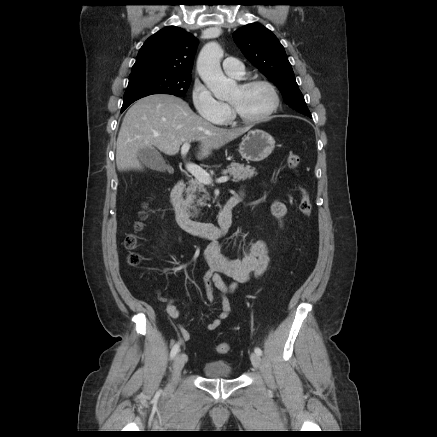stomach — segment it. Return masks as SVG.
<instances>
[{
    "instance_id": "stomach-1",
    "label": "stomach",
    "mask_w": 437,
    "mask_h": 437,
    "mask_svg": "<svg viewBox=\"0 0 437 437\" xmlns=\"http://www.w3.org/2000/svg\"><path fill=\"white\" fill-rule=\"evenodd\" d=\"M275 148L274 138L263 130H252L239 144V153L247 161L259 162L266 159Z\"/></svg>"
}]
</instances>
